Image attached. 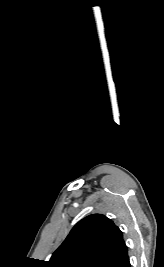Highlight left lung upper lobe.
Listing matches in <instances>:
<instances>
[{"label": "left lung upper lobe", "instance_id": "obj_1", "mask_svg": "<svg viewBox=\"0 0 164 267\" xmlns=\"http://www.w3.org/2000/svg\"><path fill=\"white\" fill-rule=\"evenodd\" d=\"M124 242L122 232L106 216L85 217L53 253L48 267H104Z\"/></svg>", "mask_w": 164, "mask_h": 267}]
</instances>
